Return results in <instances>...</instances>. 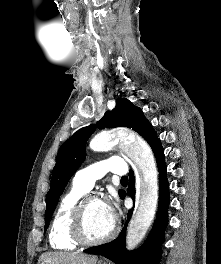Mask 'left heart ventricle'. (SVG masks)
Segmentation results:
<instances>
[{"mask_svg":"<svg viewBox=\"0 0 221 264\" xmlns=\"http://www.w3.org/2000/svg\"><path fill=\"white\" fill-rule=\"evenodd\" d=\"M113 221L104 202L93 200L87 204L84 227L90 239H99L107 235L112 228Z\"/></svg>","mask_w":221,"mask_h":264,"instance_id":"left-heart-ventricle-1","label":"left heart ventricle"}]
</instances>
